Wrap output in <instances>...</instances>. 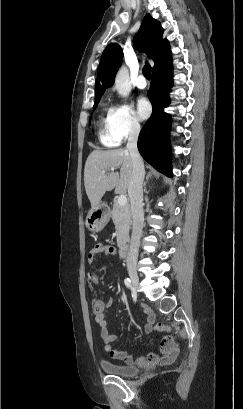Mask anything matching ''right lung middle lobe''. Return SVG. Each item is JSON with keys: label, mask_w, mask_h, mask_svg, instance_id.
I'll use <instances>...</instances> for the list:
<instances>
[{"label": "right lung middle lobe", "mask_w": 243, "mask_h": 409, "mask_svg": "<svg viewBox=\"0 0 243 409\" xmlns=\"http://www.w3.org/2000/svg\"><path fill=\"white\" fill-rule=\"evenodd\" d=\"M99 101H100V98H95L93 110L97 107Z\"/></svg>", "instance_id": "1"}]
</instances>
